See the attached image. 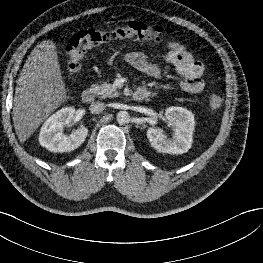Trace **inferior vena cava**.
Returning a JSON list of instances; mask_svg holds the SVG:
<instances>
[{"mask_svg": "<svg viewBox=\"0 0 263 263\" xmlns=\"http://www.w3.org/2000/svg\"><path fill=\"white\" fill-rule=\"evenodd\" d=\"M105 107L104 103L96 101L90 104L89 110L93 114H99L104 111Z\"/></svg>", "mask_w": 263, "mask_h": 263, "instance_id": "inferior-vena-cava-1", "label": "inferior vena cava"}]
</instances>
